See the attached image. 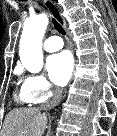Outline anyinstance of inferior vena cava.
<instances>
[{
  "label": "inferior vena cava",
  "instance_id": "obj_1",
  "mask_svg": "<svg viewBox=\"0 0 117 136\" xmlns=\"http://www.w3.org/2000/svg\"><path fill=\"white\" fill-rule=\"evenodd\" d=\"M62 98V89L61 88H56L53 91V97L51 100L47 101L45 104L41 106L42 110H49L57 106Z\"/></svg>",
  "mask_w": 117,
  "mask_h": 136
}]
</instances>
